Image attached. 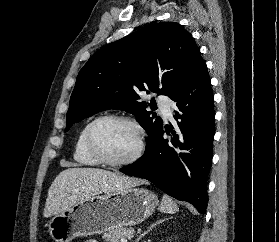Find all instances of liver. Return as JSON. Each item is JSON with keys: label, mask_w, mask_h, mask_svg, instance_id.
I'll return each instance as SVG.
<instances>
[{"label": "liver", "mask_w": 279, "mask_h": 242, "mask_svg": "<svg viewBox=\"0 0 279 242\" xmlns=\"http://www.w3.org/2000/svg\"><path fill=\"white\" fill-rule=\"evenodd\" d=\"M143 183V180L102 169L68 168L59 173L52 182L43 215L50 217L65 211L82 199Z\"/></svg>", "instance_id": "liver-1"}]
</instances>
